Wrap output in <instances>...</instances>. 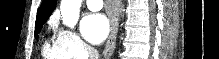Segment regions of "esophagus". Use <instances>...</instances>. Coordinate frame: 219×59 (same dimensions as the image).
<instances>
[{"instance_id": "34e87169", "label": "esophagus", "mask_w": 219, "mask_h": 59, "mask_svg": "<svg viewBox=\"0 0 219 59\" xmlns=\"http://www.w3.org/2000/svg\"><path fill=\"white\" fill-rule=\"evenodd\" d=\"M120 2H121L120 0H113L112 1L116 11L120 10V7H121ZM109 21H110V34H109L108 40L106 42L105 50L103 52V57L106 59L111 56V54L115 48L116 37H117V32H118V24H117L116 18L113 15L112 10H111V14L109 17Z\"/></svg>"}]
</instances>
